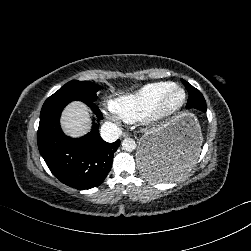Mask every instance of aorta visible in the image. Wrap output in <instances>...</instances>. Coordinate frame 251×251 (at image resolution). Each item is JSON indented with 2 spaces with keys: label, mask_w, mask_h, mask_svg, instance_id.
Returning <instances> with one entry per match:
<instances>
[{
  "label": "aorta",
  "mask_w": 251,
  "mask_h": 251,
  "mask_svg": "<svg viewBox=\"0 0 251 251\" xmlns=\"http://www.w3.org/2000/svg\"><path fill=\"white\" fill-rule=\"evenodd\" d=\"M136 146V142L132 138H125L122 141V148L128 152L133 151Z\"/></svg>",
  "instance_id": "obj_1"
}]
</instances>
